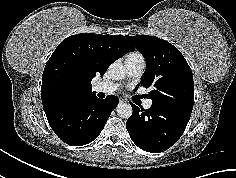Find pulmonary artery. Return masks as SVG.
I'll return each instance as SVG.
<instances>
[{
    "instance_id": "obj_1",
    "label": "pulmonary artery",
    "mask_w": 236,
    "mask_h": 178,
    "mask_svg": "<svg viewBox=\"0 0 236 178\" xmlns=\"http://www.w3.org/2000/svg\"><path fill=\"white\" fill-rule=\"evenodd\" d=\"M126 72L128 77H138L142 75L146 63L142 56H134V55H128L124 61ZM117 85L115 83H98L93 87V90L96 92H102V93H113L116 91ZM143 106L145 109H149L152 106V100H146L143 103Z\"/></svg>"
}]
</instances>
